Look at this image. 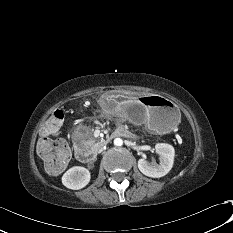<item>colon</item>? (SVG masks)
<instances>
[{
  "label": "colon",
  "mask_w": 233,
  "mask_h": 233,
  "mask_svg": "<svg viewBox=\"0 0 233 233\" xmlns=\"http://www.w3.org/2000/svg\"><path fill=\"white\" fill-rule=\"evenodd\" d=\"M64 113L60 110L53 112L42 125L43 139L37 146V152L44 162L46 170L51 174L63 171L70 160V149L62 139H51L63 124Z\"/></svg>",
  "instance_id": "5ec220e1"
}]
</instances>
